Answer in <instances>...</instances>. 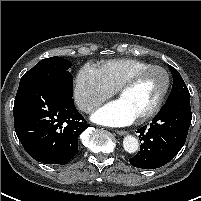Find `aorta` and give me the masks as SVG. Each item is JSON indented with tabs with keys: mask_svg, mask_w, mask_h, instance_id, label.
I'll use <instances>...</instances> for the list:
<instances>
[{
	"mask_svg": "<svg viewBox=\"0 0 201 201\" xmlns=\"http://www.w3.org/2000/svg\"><path fill=\"white\" fill-rule=\"evenodd\" d=\"M123 147L126 152L134 153L139 148V142L136 137L132 135H127L123 139Z\"/></svg>",
	"mask_w": 201,
	"mask_h": 201,
	"instance_id": "obj_1",
	"label": "aorta"
}]
</instances>
